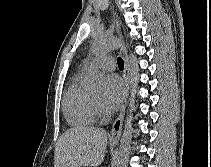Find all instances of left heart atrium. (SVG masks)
<instances>
[{
  "label": "left heart atrium",
  "instance_id": "39dd6f15",
  "mask_svg": "<svg viewBox=\"0 0 211 167\" xmlns=\"http://www.w3.org/2000/svg\"><path fill=\"white\" fill-rule=\"evenodd\" d=\"M123 94L124 86L119 77L116 75L109 76L106 91L102 99V108L109 113L115 111L120 105Z\"/></svg>",
  "mask_w": 211,
  "mask_h": 167
}]
</instances>
